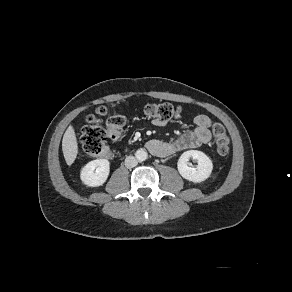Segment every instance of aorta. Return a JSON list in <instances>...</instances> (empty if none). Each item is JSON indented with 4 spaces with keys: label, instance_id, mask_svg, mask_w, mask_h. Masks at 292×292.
<instances>
[{
    "label": "aorta",
    "instance_id": "1",
    "mask_svg": "<svg viewBox=\"0 0 292 292\" xmlns=\"http://www.w3.org/2000/svg\"><path fill=\"white\" fill-rule=\"evenodd\" d=\"M138 161L142 162L148 158V153L145 149H138L135 153Z\"/></svg>",
    "mask_w": 292,
    "mask_h": 292
}]
</instances>
